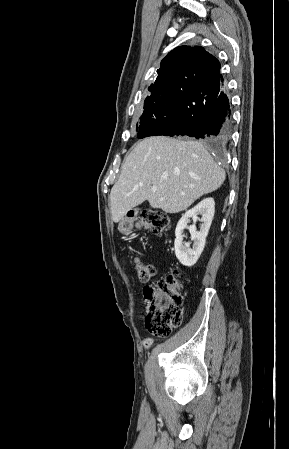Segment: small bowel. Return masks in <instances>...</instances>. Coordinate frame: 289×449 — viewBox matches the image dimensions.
Instances as JSON below:
<instances>
[{"mask_svg":"<svg viewBox=\"0 0 289 449\" xmlns=\"http://www.w3.org/2000/svg\"><path fill=\"white\" fill-rule=\"evenodd\" d=\"M153 339L152 338H146L144 341H143V346L145 347V348H148L152 343H153Z\"/></svg>","mask_w":289,"mask_h":449,"instance_id":"1","label":"small bowel"}]
</instances>
